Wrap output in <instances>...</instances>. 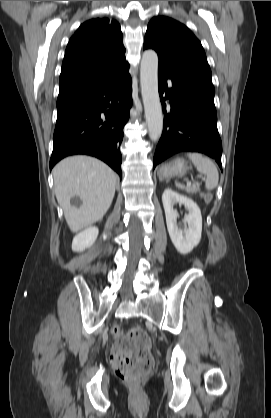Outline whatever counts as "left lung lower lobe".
I'll return each mask as SVG.
<instances>
[{"label": "left lung lower lobe", "instance_id": "left-lung-lower-lobe-1", "mask_svg": "<svg viewBox=\"0 0 271 418\" xmlns=\"http://www.w3.org/2000/svg\"><path fill=\"white\" fill-rule=\"evenodd\" d=\"M158 86L164 126L153 168L175 153L191 151L214 158L222 169V143L217 130L213 85L197 76L159 64ZM165 100L170 101L169 110H166Z\"/></svg>", "mask_w": 271, "mask_h": 418}]
</instances>
